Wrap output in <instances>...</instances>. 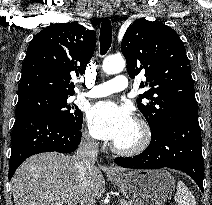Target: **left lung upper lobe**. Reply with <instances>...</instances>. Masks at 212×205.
<instances>
[{
  "mask_svg": "<svg viewBox=\"0 0 212 205\" xmlns=\"http://www.w3.org/2000/svg\"><path fill=\"white\" fill-rule=\"evenodd\" d=\"M121 51L129 76L144 73L146 77L140 87L150 89L139 95L137 105L151 133H157L174 113L198 107L190 61L183 42L171 27L138 19L126 30Z\"/></svg>",
  "mask_w": 212,
  "mask_h": 205,
  "instance_id": "5c2ea615",
  "label": "left lung upper lobe"
}]
</instances>
